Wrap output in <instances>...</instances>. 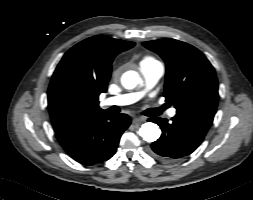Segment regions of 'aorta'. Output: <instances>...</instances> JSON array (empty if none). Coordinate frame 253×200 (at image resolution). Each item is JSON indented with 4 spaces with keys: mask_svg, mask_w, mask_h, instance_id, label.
Returning a JSON list of instances; mask_svg holds the SVG:
<instances>
[{
    "mask_svg": "<svg viewBox=\"0 0 253 200\" xmlns=\"http://www.w3.org/2000/svg\"><path fill=\"white\" fill-rule=\"evenodd\" d=\"M139 83H141V79L138 73L135 71H128L122 76V85L126 89H133ZM139 132L142 139L147 142H154L161 135V130L159 126L152 122H146L142 124Z\"/></svg>",
    "mask_w": 253,
    "mask_h": 200,
    "instance_id": "obj_1",
    "label": "aorta"
}]
</instances>
